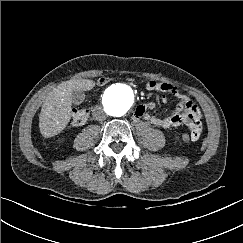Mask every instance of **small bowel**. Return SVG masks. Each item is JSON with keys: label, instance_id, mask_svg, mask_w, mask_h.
Masks as SVG:
<instances>
[{"label": "small bowel", "instance_id": "obj_1", "mask_svg": "<svg viewBox=\"0 0 243 243\" xmlns=\"http://www.w3.org/2000/svg\"><path fill=\"white\" fill-rule=\"evenodd\" d=\"M146 89L149 91L161 92L163 102L167 101L166 94L173 95L179 99L177 108L165 117H159L148 113V110L154 108L153 102H148L139 106L135 115L150 121L152 124L162 128H170L185 125L189 128L192 136V141H197L203 132L202 114L198 106L190 100L177 86L170 83L149 81L146 84Z\"/></svg>", "mask_w": 243, "mask_h": 243}]
</instances>
